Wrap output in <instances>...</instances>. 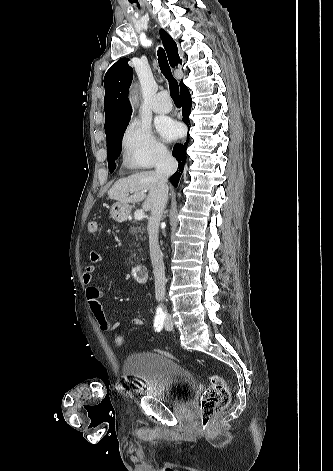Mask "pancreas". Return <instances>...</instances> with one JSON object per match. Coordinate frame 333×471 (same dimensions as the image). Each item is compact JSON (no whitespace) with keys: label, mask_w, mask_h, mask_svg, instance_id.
I'll return each instance as SVG.
<instances>
[{"label":"pancreas","mask_w":333,"mask_h":471,"mask_svg":"<svg viewBox=\"0 0 333 471\" xmlns=\"http://www.w3.org/2000/svg\"><path fill=\"white\" fill-rule=\"evenodd\" d=\"M131 222L134 223V224H137V221H135V220H133V221H131ZM144 230H145L144 227L138 226V225H137V226H135V225L130 226L129 229H128L129 233H130L132 236L135 237V241H136V242H137L139 239L142 238V234H143ZM136 242H135L134 244H137ZM131 263H133V261H131Z\"/></svg>","instance_id":"cf45deb5"}]
</instances>
